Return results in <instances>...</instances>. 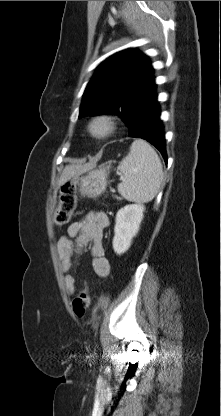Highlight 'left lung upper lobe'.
Segmentation results:
<instances>
[{"mask_svg":"<svg viewBox=\"0 0 221 416\" xmlns=\"http://www.w3.org/2000/svg\"><path fill=\"white\" fill-rule=\"evenodd\" d=\"M148 57L134 49L118 52L98 66L87 85L79 118L114 113L127 127L139 103L154 89Z\"/></svg>","mask_w":221,"mask_h":416,"instance_id":"left-lung-upper-lobe-1","label":"left lung upper lobe"}]
</instances>
